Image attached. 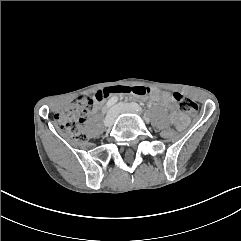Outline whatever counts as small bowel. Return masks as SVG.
I'll use <instances>...</instances> for the list:
<instances>
[{
	"label": "small bowel",
	"instance_id": "small-bowel-1",
	"mask_svg": "<svg viewBox=\"0 0 241 241\" xmlns=\"http://www.w3.org/2000/svg\"><path fill=\"white\" fill-rule=\"evenodd\" d=\"M151 98L154 101H157L160 104H162L163 106L170 109L172 111V115H173L174 120H176L179 123L184 122L183 116L177 111L175 101L169 93L154 91V92L151 93Z\"/></svg>",
	"mask_w": 241,
	"mask_h": 241
}]
</instances>
